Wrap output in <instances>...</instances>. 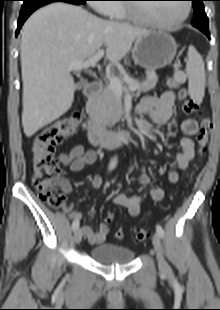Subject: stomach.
<instances>
[{
    "label": "stomach",
    "mask_w": 220,
    "mask_h": 310,
    "mask_svg": "<svg viewBox=\"0 0 220 310\" xmlns=\"http://www.w3.org/2000/svg\"><path fill=\"white\" fill-rule=\"evenodd\" d=\"M177 48L178 45L170 34L151 31L135 40L132 57L136 64L152 71L170 65Z\"/></svg>",
    "instance_id": "0dacf381"
}]
</instances>
